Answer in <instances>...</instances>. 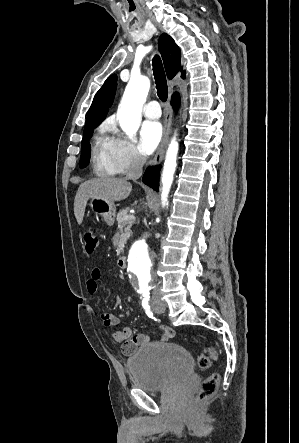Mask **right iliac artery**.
I'll list each match as a JSON object with an SVG mask.
<instances>
[{"label": "right iliac artery", "instance_id": "right-iliac-artery-1", "mask_svg": "<svg viewBox=\"0 0 299 443\" xmlns=\"http://www.w3.org/2000/svg\"><path fill=\"white\" fill-rule=\"evenodd\" d=\"M142 306H143V308H144L146 314H147L150 318H153V319L157 320L155 317H153V313H152L151 310H150V302H149V300H143V301H142Z\"/></svg>", "mask_w": 299, "mask_h": 443}]
</instances>
